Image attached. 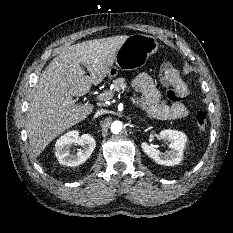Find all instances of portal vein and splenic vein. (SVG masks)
I'll use <instances>...</instances> for the list:
<instances>
[{
    "label": "portal vein and splenic vein",
    "mask_w": 233,
    "mask_h": 233,
    "mask_svg": "<svg viewBox=\"0 0 233 233\" xmlns=\"http://www.w3.org/2000/svg\"><path fill=\"white\" fill-rule=\"evenodd\" d=\"M111 98H113V93H111V91H106V92H104V93H101V94H99L97 97H96V99L98 100V101H105V100H109V99H111ZM132 101H133V103L135 104V101L132 99Z\"/></svg>",
    "instance_id": "portal-vein-and-splenic-vein-1"
}]
</instances>
